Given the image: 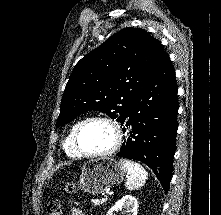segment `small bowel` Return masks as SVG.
<instances>
[{"instance_id": "obj_1", "label": "small bowel", "mask_w": 221, "mask_h": 215, "mask_svg": "<svg viewBox=\"0 0 221 215\" xmlns=\"http://www.w3.org/2000/svg\"><path fill=\"white\" fill-rule=\"evenodd\" d=\"M71 214L72 215H85L80 209L75 208V207L71 208Z\"/></svg>"}]
</instances>
